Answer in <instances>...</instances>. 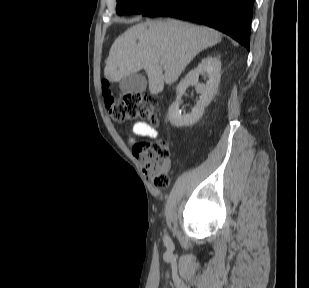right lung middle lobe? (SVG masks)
Returning a JSON list of instances; mask_svg holds the SVG:
<instances>
[{
    "label": "right lung middle lobe",
    "mask_w": 309,
    "mask_h": 288,
    "mask_svg": "<svg viewBox=\"0 0 309 288\" xmlns=\"http://www.w3.org/2000/svg\"><path fill=\"white\" fill-rule=\"evenodd\" d=\"M162 0H117V14H141Z\"/></svg>",
    "instance_id": "right-lung-middle-lobe-1"
}]
</instances>
